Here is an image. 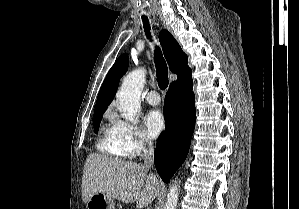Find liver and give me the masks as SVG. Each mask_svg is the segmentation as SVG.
<instances>
[{
	"label": "liver",
	"instance_id": "liver-1",
	"mask_svg": "<svg viewBox=\"0 0 299 209\" xmlns=\"http://www.w3.org/2000/svg\"><path fill=\"white\" fill-rule=\"evenodd\" d=\"M161 189V181L143 165L90 154L82 178V197L85 203L96 193H105L124 203L136 202L138 209L151 204Z\"/></svg>",
	"mask_w": 299,
	"mask_h": 209
}]
</instances>
